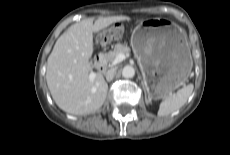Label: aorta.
<instances>
[{"label": "aorta", "mask_w": 230, "mask_h": 155, "mask_svg": "<svg viewBox=\"0 0 230 155\" xmlns=\"http://www.w3.org/2000/svg\"><path fill=\"white\" fill-rule=\"evenodd\" d=\"M134 75L135 69L132 66L127 65L122 69V76L124 78H133Z\"/></svg>", "instance_id": "obj_1"}]
</instances>
